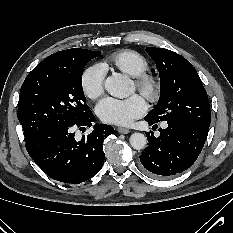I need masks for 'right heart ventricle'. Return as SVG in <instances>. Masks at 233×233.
<instances>
[{"label": "right heart ventricle", "mask_w": 233, "mask_h": 233, "mask_svg": "<svg viewBox=\"0 0 233 233\" xmlns=\"http://www.w3.org/2000/svg\"><path fill=\"white\" fill-rule=\"evenodd\" d=\"M105 66H113L123 73L136 77L149 68L147 59L134 50H121L105 60Z\"/></svg>", "instance_id": "1"}]
</instances>
